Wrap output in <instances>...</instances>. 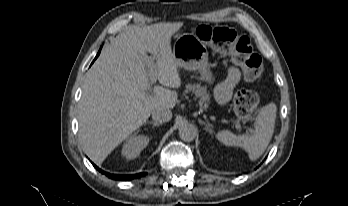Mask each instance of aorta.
Segmentation results:
<instances>
[{
  "instance_id": "obj_1",
  "label": "aorta",
  "mask_w": 348,
  "mask_h": 206,
  "mask_svg": "<svg viewBox=\"0 0 348 206\" xmlns=\"http://www.w3.org/2000/svg\"><path fill=\"white\" fill-rule=\"evenodd\" d=\"M196 136L195 127L190 123H183L179 126V137L185 142H191Z\"/></svg>"
}]
</instances>
